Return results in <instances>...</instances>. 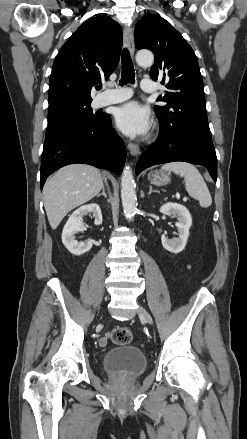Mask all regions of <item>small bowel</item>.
<instances>
[{
    "label": "small bowel",
    "mask_w": 247,
    "mask_h": 439,
    "mask_svg": "<svg viewBox=\"0 0 247 439\" xmlns=\"http://www.w3.org/2000/svg\"><path fill=\"white\" fill-rule=\"evenodd\" d=\"M108 339H109V334H106L105 336H103L99 341L100 346H103V347L106 346Z\"/></svg>",
    "instance_id": "1"
}]
</instances>
